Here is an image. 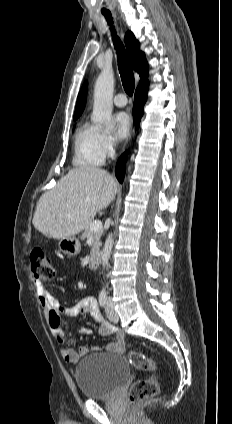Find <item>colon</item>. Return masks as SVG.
I'll use <instances>...</instances> for the list:
<instances>
[{"label":"colon","instance_id":"colon-1","mask_svg":"<svg viewBox=\"0 0 232 424\" xmlns=\"http://www.w3.org/2000/svg\"><path fill=\"white\" fill-rule=\"evenodd\" d=\"M31 269L35 279L43 282L52 281L55 277V269L50 258L41 249H35L30 255ZM130 363L137 369L150 373L149 377L134 381L128 392L131 403L154 397L158 393L159 381L157 376V364L141 352L130 351L128 353Z\"/></svg>","mask_w":232,"mask_h":424}]
</instances>
